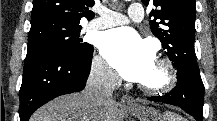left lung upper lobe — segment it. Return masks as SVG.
<instances>
[{
  "mask_svg": "<svg viewBox=\"0 0 217 121\" xmlns=\"http://www.w3.org/2000/svg\"><path fill=\"white\" fill-rule=\"evenodd\" d=\"M153 4L149 17L152 33L161 41L176 68L199 72L194 50L195 0H142Z\"/></svg>",
  "mask_w": 217,
  "mask_h": 121,
  "instance_id": "1",
  "label": "left lung upper lobe"
}]
</instances>
